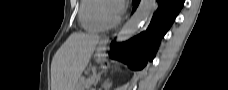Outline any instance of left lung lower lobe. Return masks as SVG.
<instances>
[{"mask_svg": "<svg viewBox=\"0 0 228 90\" xmlns=\"http://www.w3.org/2000/svg\"><path fill=\"white\" fill-rule=\"evenodd\" d=\"M140 0H133L135 10ZM184 0H158V8L145 31L130 41L111 44L110 57L127 64L133 70H142L152 61L161 38L174 22L183 7Z\"/></svg>", "mask_w": 228, "mask_h": 90, "instance_id": "0a47b994", "label": "left lung lower lobe"}]
</instances>
